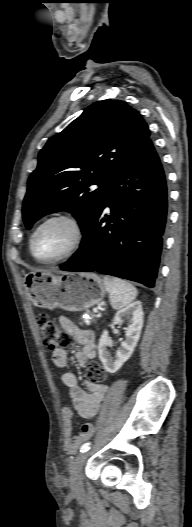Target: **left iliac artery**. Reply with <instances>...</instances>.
<instances>
[{"instance_id": "1", "label": "left iliac artery", "mask_w": 192, "mask_h": 527, "mask_svg": "<svg viewBox=\"0 0 192 527\" xmlns=\"http://www.w3.org/2000/svg\"><path fill=\"white\" fill-rule=\"evenodd\" d=\"M90 445H91L90 442L83 444L81 446V448H80V452L84 453V452L88 451L90 449Z\"/></svg>"}]
</instances>
